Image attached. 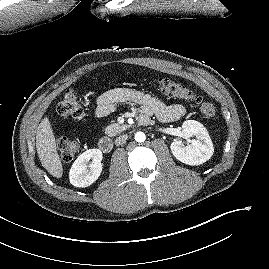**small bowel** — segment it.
<instances>
[{
	"instance_id": "1",
	"label": "small bowel",
	"mask_w": 269,
	"mask_h": 269,
	"mask_svg": "<svg viewBox=\"0 0 269 269\" xmlns=\"http://www.w3.org/2000/svg\"><path fill=\"white\" fill-rule=\"evenodd\" d=\"M124 102L140 105V123L144 125L148 124L152 117L161 122H170L180 119L185 114V107L182 104L166 105L141 91L119 88L107 91L98 98L95 115L98 119H102Z\"/></svg>"
}]
</instances>
